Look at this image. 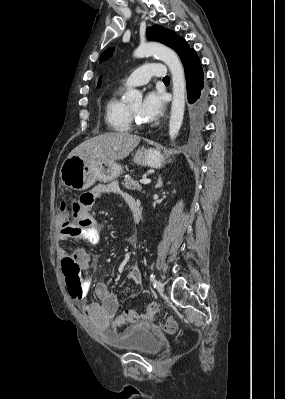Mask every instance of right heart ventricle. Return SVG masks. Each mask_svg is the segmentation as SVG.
I'll use <instances>...</instances> for the list:
<instances>
[{
    "label": "right heart ventricle",
    "mask_w": 285,
    "mask_h": 399,
    "mask_svg": "<svg viewBox=\"0 0 285 399\" xmlns=\"http://www.w3.org/2000/svg\"><path fill=\"white\" fill-rule=\"evenodd\" d=\"M121 90L113 92L105 102V121L115 132H129L132 128L128 106L120 99Z\"/></svg>",
    "instance_id": "right-heart-ventricle-1"
}]
</instances>
